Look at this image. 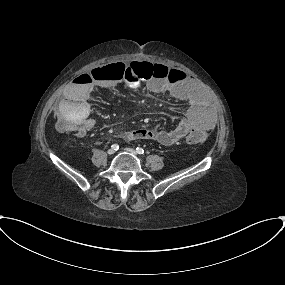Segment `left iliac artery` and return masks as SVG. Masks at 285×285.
Instances as JSON below:
<instances>
[{
	"instance_id": "obj_1",
	"label": "left iliac artery",
	"mask_w": 285,
	"mask_h": 285,
	"mask_svg": "<svg viewBox=\"0 0 285 285\" xmlns=\"http://www.w3.org/2000/svg\"><path fill=\"white\" fill-rule=\"evenodd\" d=\"M136 152H137L138 154H144V150H143L141 147H137V148H136Z\"/></svg>"
}]
</instances>
